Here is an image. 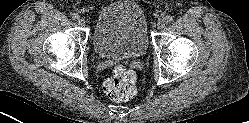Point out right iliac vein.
Segmentation results:
<instances>
[{
  "label": "right iliac vein",
  "instance_id": "right-iliac-vein-1",
  "mask_svg": "<svg viewBox=\"0 0 249 123\" xmlns=\"http://www.w3.org/2000/svg\"><path fill=\"white\" fill-rule=\"evenodd\" d=\"M77 22L79 26H85L86 23L85 19L80 17L78 18Z\"/></svg>",
  "mask_w": 249,
  "mask_h": 123
}]
</instances>
